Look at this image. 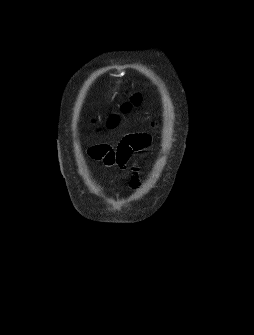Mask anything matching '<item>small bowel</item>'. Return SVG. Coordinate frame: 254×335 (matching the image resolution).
I'll return each instance as SVG.
<instances>
[{
    "mask_svg": "<svg viewBox=\"0 0 254 335\" xmlns=\"http://www.w3.org/2000/svg\"><path fill=\"white\" fill-rule=\"evenodd\" d=\"M152 138L148 134H132L126 136L116 150L107 145H97L91 148L93 158L103 160L108 167L118 165L125 169L130 165L133 174L132 187L138 186V166L132 160L133 154L145 150L152 144Z\"/></svg>",
    "mask_w": 254,
    "mask_h": 335,
    "instance_id": "obj_1",
    "label": "small bowel"
}]
</instances>
